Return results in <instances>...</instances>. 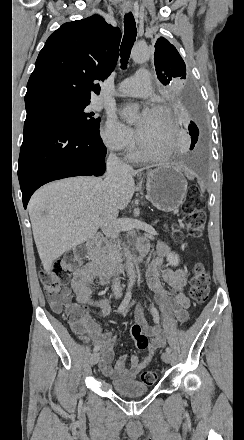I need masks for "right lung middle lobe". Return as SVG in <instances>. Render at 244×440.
<instances>
[{
  "instance_id": "obj_1",
  "label": "right lung middle lobe",
  "mask_w": 244,
  "mask_h": 440,
  "mask_svg": "<svg viewBox=\"0 0 244 440\" xmlns=\"http://www.w3.org/2000/svg\"><path fill=\"white\" fill-rule=\"evenodd\" d=\"M90 98L47 94L25 99L27 117L43 116L83 131L99 129L100 119L93 118L87 106Z\"/></svg>"
}]
</instances>
